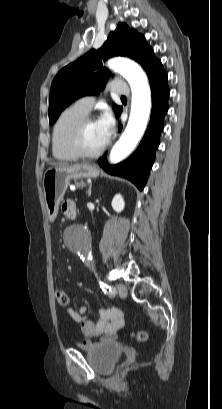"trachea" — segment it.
<instances>
[{
	"mask_svg": "<svg viewBox=\"0 0 222 409\" xmlns=\"http://www.w3.org/2000/svg\"><path fill=\"white\" fill-rule=\"evenodd\" d=\"M121 99H126V97H125V96H122Z\"/></svg>",
	"mask_w": 222,
	"mask_h": 409,
	"instance_id": "1",
	"label": "trachea"
}]
</instances>
